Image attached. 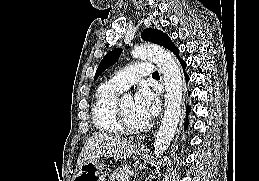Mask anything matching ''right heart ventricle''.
Segmentation results:
<instances>
[{"mask_svg":"<svg viewBox=\"0 0 259 181\" xmlns=\"http://www.w3.org/2000/svg\"><path fill=\"white\" fill-rule=\"evenodd\" d=\"M123 90L110 82L102 83L96 90L91 114L95 127L104 133H123L117 113V97Z\"/></svg>","mask_w":259,"mask_h":181,"instance_id":"1","label":"right heart ventricle"}]
</instances>
